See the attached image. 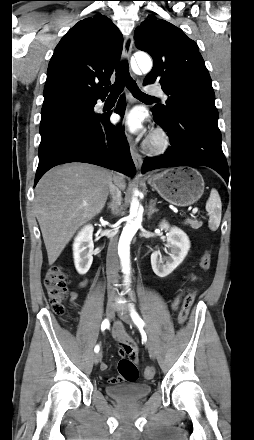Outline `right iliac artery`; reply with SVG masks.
<instances>
[{"instance_id": "obj_1", "label": "right iliac artery", "mask_w": 254, "mask_h": 440, "mask_svg": "<svg viewBox=\"0 0 254 440\" xmlns=\"http://www.w3.org/2000/svg\"><path fill=\"white\" fill-rule=\"evenodd\" d=\"M109 326H110L109 320H108V319H105V320L102 322L101 330L104 331L105 329L109 328ZM99 350H100L99 345L95 346L94 351L97 353V352H99Z\"/></svg>"}]
</instances>
